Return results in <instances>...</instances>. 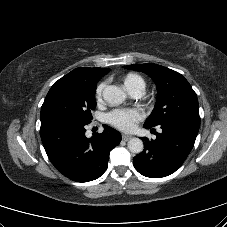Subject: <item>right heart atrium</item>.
<instances>
[{
  "label": "right heart atrium",
  "instance_id": "obj_1",
  "mask_svg": "<svg viewBox=\"0 0 227 227\" xmlns=\"http://www.w3.org/2000/svg\"><path fill=\"white\" fill-rule=\"evenodd\" d=\"M105 86H106L105 82H101L97 85V87L95 89V99L97 101H100L102 99V94H103Z\"/></svg>",
  "mask_w": 227,
  "mask_h": 227
}]
</instances>
